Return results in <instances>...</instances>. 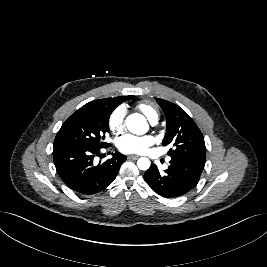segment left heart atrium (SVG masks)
Listing matches in <instances>:
<instances>
[{"instance_id": "left-heart-atrium-1", "label": "left heart atrium", "mask_w": 267, "mask_h": 267, "mask_svg": "<svg viewBox=\"0 0 267 267\" xmlns=\"http://www.w3.org/2000/svg\"><path fill=\"white\" fill-rule=\"evenodd\" d=\"M152 136L125 134L117 140L118 149L126 154H143L154 144Z\"/></svg>"}]
</instances>
